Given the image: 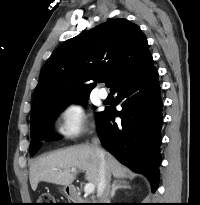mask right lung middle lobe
Wrapping results in <instances>:
<instances>
[{
    "label": "right lung middle lobe",
    "mask_w": 200,
    "mask_h": 205,
    "mask_svg": "<svg viewBox=\"0 0 200 205\" xmlns=\"http://www.w3.org/2000/svg\"><path fill=\"white\" fill-rule=\"evenodd\" d=\"M88 96L76 97V98H66L60 100H54L47 102L41 108L39 114L30 120V131H31V144L30 153L34 155L41 146V140L44 137H51V125L55 119L57 113L63 109L69 103H79L85 104ZM102 112L99 113V116ZM57 138L51 137L50 140H56Z\"/></svg>",
    "instance_id": "right-lung-middle-lobe-1"
}]
</instances>
